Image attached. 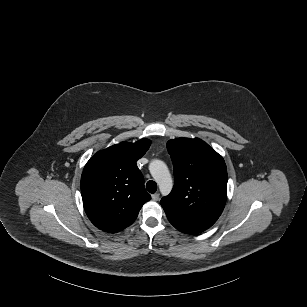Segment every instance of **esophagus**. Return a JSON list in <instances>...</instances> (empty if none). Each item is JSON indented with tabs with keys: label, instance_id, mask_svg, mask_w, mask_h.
I'll return each instance as SVG.
<instances>
[{
	"label": "esophagus",
	"instance_id": "1",
	"mask_svg": "<svg viewBox=\"0 0 307 307\" xmlns=\"http://www.w3.org/2000/svg\"><path fill=\"white\" fill-rule=\"evenodd\" d=\"M159 196H160L159 193L152 194V199L154 201H157L159 199Z\"/></svg>",
	"mask_w": 307,
	"mask_h": 307
}]
</instances>
